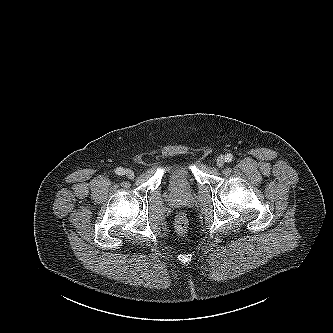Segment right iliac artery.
Listing matches in <instances>:
<instances>
[{
	"mask_svg": "<svg viewBox=\"0 0 333 333\" xmlns=\"http://www.w3.org/2000/svg\"><path fill=\"white\" fill-rule=\"evenodd\" d=\"M115 173L117 175H124L125 174V170L123 168L119 167V168L115 169Z\"/></svg>",
	"mask_w": 333,
	"mask_h": 333,
	"instance_id": "82829eb1",
	"label": "right iliac artery"
}]
</instances>
